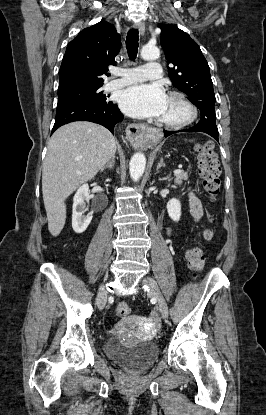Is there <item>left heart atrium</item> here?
Masks as SVG:
<instances>
[{"label":"left heart atrium","instance_id":"obj_1","mask_svg":"<svg viewBox=\"0 0 266 415\" xmlns=\"http://www.w3.org/2000/svg\"><path fill=\"white\" fill-rule=\"evenodd\" d=\"M168 97L158 83L138 84L125 89L120 96L122 111L133 118H159Z\"/></svg>","mask_w":266,"mask_h":415}]
</instances>
